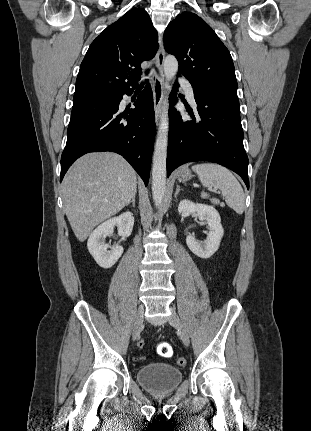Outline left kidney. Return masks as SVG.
Wrapping results in <instances>:
<instances>
[{
    "mask_svg": "<svg viewBox=\"0 0 311 431\" xmlns=\"http://www.w3.org/2000/svg\"><path fill=\"white\" fill-rule=\"evenodd\" d=\"M178 212L182 217L191 216L197 212L199 219H206L208 223V233L204 241H198L193 235H187L186 243L198 257L207 259L217 251L220 241L224 235V229L221 223L220 214L213 206H205V204H194L190 200H181L178 206Z\"/></svg>",
    "mask_w": 311,
    "mask_h": 431,
    "instance_id": "obj_1",
    "label": "left kidney"
}]
</instances>
